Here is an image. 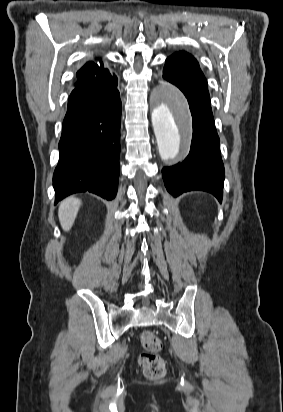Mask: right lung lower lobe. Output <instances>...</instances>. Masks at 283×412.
<instances>
[{
    "label": "right lung lower lobe",
    "mask_w": 283,
    "mask_h": 412,
    "mask_svg": "<svg viewBox=\"0 0 283 412\" xmlns=\"http://www.w3.org/2000/svg\"><path fill=\"white\" fill-rule=\"evenodd\" d=\"M116 87L117 78H93L71 92L53 175L55 204L86 191L107 200L116 196L121 123Z\"/></svg>",
    "instance_id": "obj_1"
}]
</instances>
